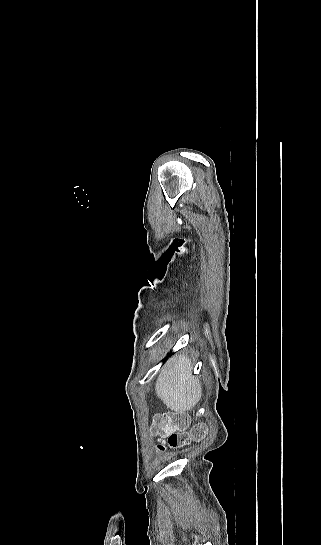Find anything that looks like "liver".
Returning a JSON list of instances; mask_svg holds the SVG:
<instances>
[{"label": "liver", "mask_w": 321, "mask_h": 545, "mask_svg": "<svg viewBox=\"0 0 321 545\" xmlns=\"http://www.w3.org/2000/svg\"><path fill=\"white\" fill-rule=\"evenodd\" d=\"M192 363L188 357L180 355L166 363L160 373L155 391L167 409L185 413L195 407L202 397L198 379L191 377Z\"/></svg>", "instance_id": "liver-1"}]
</instances>
